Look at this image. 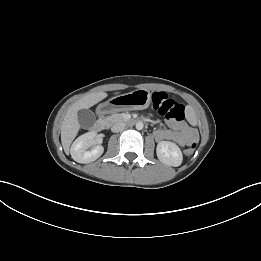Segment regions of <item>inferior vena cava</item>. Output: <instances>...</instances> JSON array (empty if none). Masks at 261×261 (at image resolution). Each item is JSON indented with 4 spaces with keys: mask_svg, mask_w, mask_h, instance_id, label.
Wrapping results in <instances>:
<instances>
[{
    "mask_svg": "<svg viewBox=\"0 0 261 261\" xmlns=\"http://www.w3.org/2000/svg\"><path fill=\"white\" fill-rule=\"evenodd\" d=\"M125 128V123L123 122H118L115 123L112 127H111V131L116 133V132H120Z\"/></svg>",
    "mask_w": 261,
    "mask_h": 261,
    "instance_id": "inferior-vena-cava-1",
    "label": "inferior vena cava"
}]
</instances>
